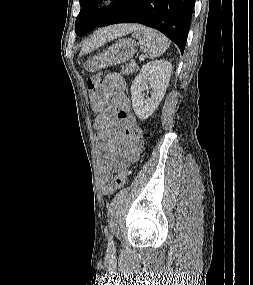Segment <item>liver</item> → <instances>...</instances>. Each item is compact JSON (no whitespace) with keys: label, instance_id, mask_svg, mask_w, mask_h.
Returning <instances> with one entry per match:
<instances>
[{"label":"liver","instance_id":"liver-1","mask_svg":"<svg viewBox=\"0 0 253 285\" xmlns=\"http://www.w3.org/2000/svg\"><path fill=\"white\" fill-rule=\"evenodd\" d=\"M136 26L134 24H121L103 29L86 41L80 51V56L97 49L117 37L132 32Z\"/></svg>","mask_w":253,"mask_h":285}]
</instances>
